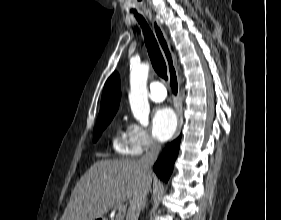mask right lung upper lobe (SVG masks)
I'll list each match as a JSON object with an SVG mask.
<instances>
[{
    "instance_id": "1",
    "label": "right lung upper lobe",
    "mask_w": 281,
    "mask_h": 220,
    "mask_svg": "<svg viewBox=\"0 0 281 220\" xmlns=\"http://www.w3.org/2000/svg\"><path fill=\"white\" fill-rule=\"evenodd\" d=\"M120 96L119 74L114 72L104 85L98 117L115 115L119 106Z\"/></svg>"
}]
</instances>
